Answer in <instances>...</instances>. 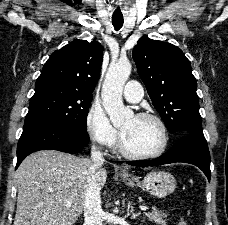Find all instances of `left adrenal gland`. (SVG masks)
I'll return each mask as SVG.
<instances>
[{"instance_id": "obj_1", "label": "left adrenal gland", "mask_w": 228, "mask_h": 225, "mask_svg": "<svg viewBox=\"0 0 228 225\" xmlns=\"http://www.w3.org/2000/svg\"><path fill=\"white\" fill-rule=\"evenodd\" d=\"M127 211H129L128 215H130V219H137L140 215V213H134V207L132 205H129Z\"/></svg>"}]
</instances>
